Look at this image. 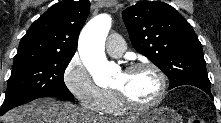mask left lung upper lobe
I'll return each instance as SVG.
<instances>
[{
    "label": "left lung upper lobe",
    "instance_id": "5c2ea615",
    "mask_svg": "<svg viewBox=\"0 0 221 123\" xmlns=\"http://www.w3.org/2000/svg\"><path fill=\"white\" fill-rule=\"evenodd\" d=\"M133 47L180 85L210 87L202 45L191 25L170 5L141 1L122 12Z\"/></svg>",
    "mask_w": 221,
    "mask_h": 123
}]
</instances>
